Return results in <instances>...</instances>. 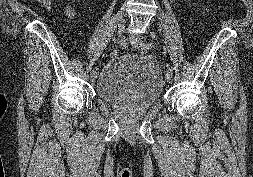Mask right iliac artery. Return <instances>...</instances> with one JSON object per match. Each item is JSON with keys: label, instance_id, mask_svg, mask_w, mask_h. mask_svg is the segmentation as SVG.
Listing matches in <instances>:
<instances>
[{"label": "right iliac artery", "instance_id": "82829eb1", "mask_svg": "<svg viewBox=\"0 0 253 177\" xmlns=\"http://www.w3.org/2000/svg\"><path fill=\"white\" fill-rule=\"evenodd\" d=\"M117 43L121 46V47H125L126 46V42L125 39L123 37H118L117 38ZM91 72H94V69H91Z\"/></svg>", "mask_w": 253, "mask_h": 177}]
</instances>
